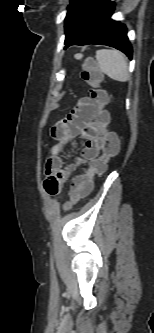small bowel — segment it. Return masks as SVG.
<instances>
[{"label":"small bowel","instance_id":"c3829d8e","mask_svg":"<svg viewBox=\"0 0 154 333\" xmlns=\"http://www.w3.org/2000/svg\"><path fill=\"white\" fill-rule=\"evenodd\" d=\"M97 106L89 99L82 98L64 119L51 129L55 142L49 148L45 165L44 188L51 195H57L76 166L96 159L103 145L101 128L96 121ZM84 140L80 157L75 164L65 165L64 156L75 148L76 139Z\"/></svg>","mask_w":154,"mask_h":333}]
</instances>
